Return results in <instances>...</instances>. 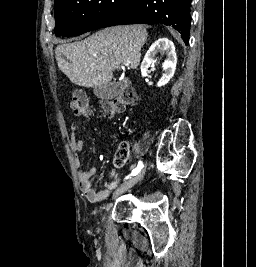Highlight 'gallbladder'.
Returning a JSON list of instances; mask_svg holds the SVG:
<instances>
[{"instance_id":"obj_1","label":"gallbladder","mask_w":256,"mask_h":267,"mask_svg":"<svg viewBox=\"0 0 256 267\" xmlns=\"http://www.w3.org/2000/svg\"><path fill=\"white\" fill-rule=\"evenodd\" d=\"M121 90V82H115V84H101V86H93V94L102 98V100H113Z\"/></svg>"}]
</instances>
